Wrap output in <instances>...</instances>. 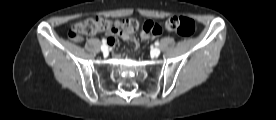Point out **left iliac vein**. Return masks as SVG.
<instances>
[{
  "mask_svg": "<svg viewBox=\"0 0 276 120\" xmlns=\"http://www.w3.org/2000/svg\"><path fill=\"white\" fill-rule=\"evenodd\" d=\"M152 54L154 55V56H159L160 55V49H158V48H154L153 50H152Z\"/></svg>",
  "mask_w": 276,
  "mask_h": 120,
  "instance_id": "1",
  "label": "left iliac vein"
}]
</instances>
